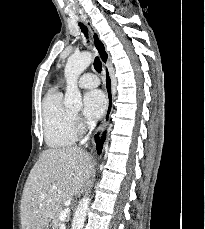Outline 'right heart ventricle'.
Listing matches in <instances>:
<instances>
[{
    "label": "right heart ventricle",
    "instance_id": "e07e8e85",
    "mask_svg": "<svg viewBox=\"0 0 205 229\" xmlns=\"http://www.w3.org/2000/svg\"><path fill=\"white\" fill-rule=\"evenodd\" d=\"M43 134L46 144L53 149L73 145L78 138V129L73 113L62 100L57 90L48 92L42 103Z\"/></svg>",
    "mask_w": 205,
    "mask_h": 229
}]
</instances>
